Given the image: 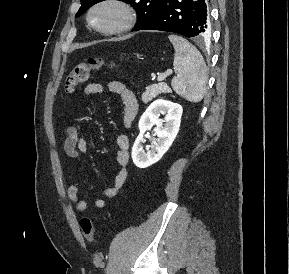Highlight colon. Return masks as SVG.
<instances>
[{
    "instance_id": "5ec220e1",
    "label": "colon",
    "mask_w": 289,
    "mask_h": 274,
    "mask_svg": "<svg viewBox=\"0 0 289 274\" xmlns=\"http://www.w3.org/2000/svg\"><path fill=\"white\" fill-rule=\"evenodd\" d=\"M106 64L103 58H90L86 62L77 64L67 74L64 81V91L67 94L73 93L79 84L87 81L91 72L101 69ZM82 233L89 242L95 239V225L93 221L84 217L80 221Z\"/></svg>"
}]
</instances>
